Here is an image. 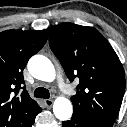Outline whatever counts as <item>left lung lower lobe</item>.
<instances>
[{
  "label": "left lung lower lobe",
  "instance_id": "obj_1",
  "mask_svg": "<svg viewBox=\"0 0 127 127\" xmlns=\"http://www.w3.org/2000/svg\"><path fill=\"white\" fill-rule=\"evenodd\" d=\"M63 127H110L104 124L90 121L83 116L74 113L71 121L63 122Z\"/></svg>",
  "mask_w": 127,
  "mask_h": 127
}]
</instances>
